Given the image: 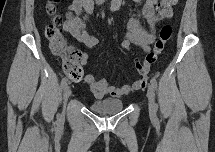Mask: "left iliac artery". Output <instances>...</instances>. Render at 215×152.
Here are the masks:
<instances>
[{
    "instance_id": "obj_1",
    "label": "left iliac artery",
    "mask_w": 215,
    "mask_h": 152,
    "mask_svg": "<svg viewBox=\"0 0 215 152\" xmlns=\"http://www.w3.org/2000/svg\"><path fill=\"white\" fill-rule=\"evenodd\" d=\"M150 83L154 90H157V81L155 78H151Z\"/></svg>"
}]
</instances>
